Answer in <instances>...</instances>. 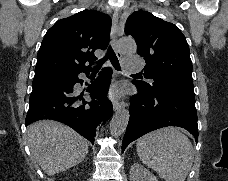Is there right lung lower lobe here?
<instances>
[{
    "label": "right lung lower lobe",
    "mask_w": 228,
    "mask_h": 181,
    "mask_svg": "<svg viewBox=\"0 0 228 181\" xmlns=\"http://www.w3.org/2000/svg\"><path fill=\"white\" fill-rule=\"evenodd\" d=\"M90 70L33 80L26 126L37 120L53 119L70 126L93 144L95 128L113 114V106L107 99L112 70L104 68L100 77L81 92L76 86L83 83L78 74L88 76Z\"/></svg>",
    "instance_id": "right-lung-lower-lobe-1"
}]
</instances>
